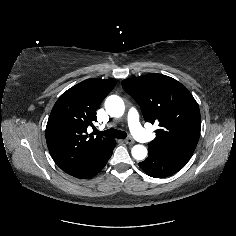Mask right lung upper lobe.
<instances>
[{
  "label": "right lung upper lobe",
  "instance_id": "right-lung-upper-lobe-1",
  "mask_svg": "<svg viewBox=\"0 0 236 236\" xmlns=\"http://www.w3.org/2000/svg\"><path fill=\"white\" fill-rule=\"evenodd\" d=\"M116 84L115 80L88 79L64 92L55 103L46 126V142L55 163L75 176L113 139L87 135L96 110Z\"/></svg>",
  "mask_w": 236,
  "mask_h": 236
}]
</instances>
